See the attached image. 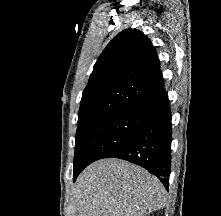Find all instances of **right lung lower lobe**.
<instances>
[{
	"label": "right lung lower lobe",
	"instance_id": "right-lung-lower-lobe-1",
	"mask_svg": "<svg viewBox=\"0 0 221 216\" xmlns=\"http://www.w3.org/2000/svg\"><path fill=\"white\" fill-rule=\"evenodd\" d=\"M172 124L167 95L147 113L142 128L127 142L114 149L104 158H119L139 165L169 188L171 169ZM87 165L74 166L73 179Z\"/></svg>",
	"mask_w": 221,
	"mask_h": 216
}]
</instances>
